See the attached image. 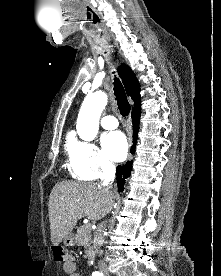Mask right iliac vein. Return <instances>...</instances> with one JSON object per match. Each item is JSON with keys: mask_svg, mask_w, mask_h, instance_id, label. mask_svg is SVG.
I'll return each instance as SVG.
<instances>
[{"mask_svg": "<svg viewBox=\"0 0 221 276\" xmlns=\"http://www.w3.org/2000/svg\"><path fill=\"white\" fill-rule=\"evenodd\" d=\"M102 271L107 272V268L106 267L102 268ZM107 276H109V275H107Z\"/></svg>", "mask_w": 221, "mask_h": 276, "instance_id": "63e3f726", "label": "right iliac vein"}]
</instances>
